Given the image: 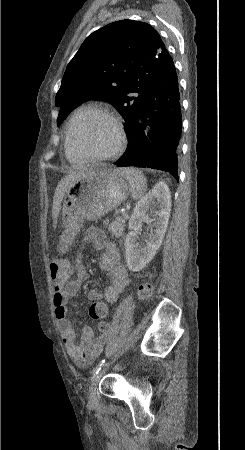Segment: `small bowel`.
Instances as JSON below:
<instances>
[{"mask_svg":"<svg viewBox=\"0 0 245 450\" xmlns=\"http://www.w3.org/2000/svg\"><path fill=\"white\" fill-rule=\"evenodd\" d=\"M83 243L102 252L98 262L106 272V278L110 281L109 286L102 294L96 290H91L88 294L89 298L91 300L102 298L106 304L115 303L130 281L121 263L116 243L109 241L105 233L95 227L86 231ZM73 273L76 274V280H69ZM50 275L53 279L54 317L59 324L66 351L78 366L85 368L102 353L108 339L110 324L106 320L98 322L100 332L98 336H95L92 328L84 327L80 339L77 341L76 331L67 316L68 300L78 294L81 284L89 279L90 274L78 260L74 266L65 264L57 268L55 272L51 267Z\"/></svg>","mask_w":245,"mask_h":450,"instance_id":"c3829d8e","label":"small bowel"}]
</instances>
